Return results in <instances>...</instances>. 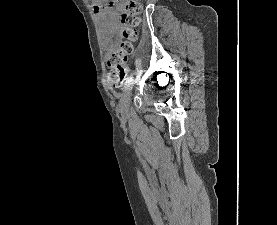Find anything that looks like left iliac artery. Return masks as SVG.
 I'll return each mask as SVG.
<instances>
[{
	"label": "left iliac artery",
	"mask_w": 277,
	"mask_h": 225,
	"mask_svg": "<svg viewBox=\"0 0 277 225\" xmlns=\"http://www.w3.org/2000/svg\"><path fill=\"white\" fill-rule=\"evenodd\" d=\"M134 78V74H131L130 76H128L124 82V86L123 89H125L127 87V85L133 80Z\"/></svg>",
	"instance_id": "obj_1"
}]
</instances>
